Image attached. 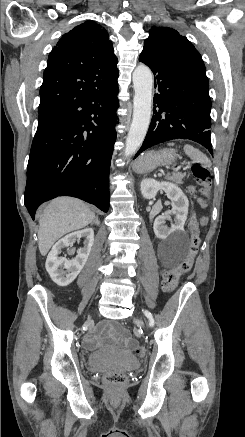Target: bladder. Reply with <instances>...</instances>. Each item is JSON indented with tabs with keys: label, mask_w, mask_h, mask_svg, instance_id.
Masks as SVG:
<instances>
[{
	"label": "bladder",
	"mask_w": 245,
	"mask_h": 437,
	"mask_svg": "<svg viewBox=\"0 0 245 437\" xmlns=\"http://www.w3.org/2000/svg\"><path fill=\"white\" fill-rule=\"evenodd\" d=\"M94 370L130 371L139 367V360L130 352L118 348H103L88 355Z\"/></svg>",
	"instance_id": "bladder-1"
}]
</instances>
